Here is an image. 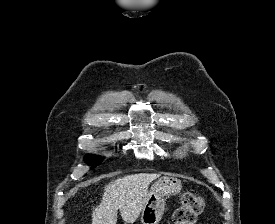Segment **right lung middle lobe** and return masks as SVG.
<instances>
[{"label":"right lung middle lobe","instance_id":"dd1d6c3e","mask_svg":"<svg viewBox=\"0 0 275 224\" xmlns=\"http://www.w3.org/2000/svg\"><path fill=\"white\" fill-rule=\"evenodd\" d=\"M85 160L87 161V163H92V162L98 163L100 158L92 156V155H88V156L85 157Z\"/></svg>","mask_w":275,"mask_h":224}]
</instances>
